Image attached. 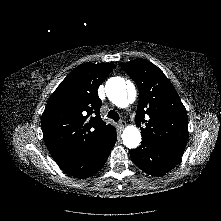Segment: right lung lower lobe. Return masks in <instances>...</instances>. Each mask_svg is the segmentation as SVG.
<instances>
[{
    "instance_id": "obj_1",
    "label": "right lung lower lobe",
    "mask_w": 221,
    "mask_h": 221,
    "mask_svg": "<svg viewBox=\"0 0 221 221\" xmlns=\"http://www.w3.org/2000/svg\"><path fill=\"white\" fill-rule=\"evenodd\" d=\"M117 140L116 131L98 144L88 154L78 161L63 166L62 170L77 178H88L99 171L107 161L110 150Z\"/></svg>"
}]
</instances>
